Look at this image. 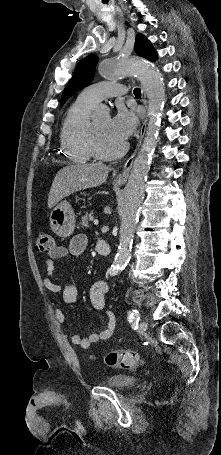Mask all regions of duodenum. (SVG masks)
I'll return each instance as SVG.
<instances>
[{
	"label": "duodenum",
	"mask_w": 221,
	"mask_h": 455,
	"mask_svg": "<svg viewBox=\"0 0 221 455\" xmlns=\"http://www.w3.org/2000/svg\"><path fill=\"white\" fill-rule=\"evenodd\" d=\"M96 250L100 255H108L110 253V245L105 240H98L96 243Z\"/></svg>",
	"instance_id": "obj_1"
}]
</instances>
